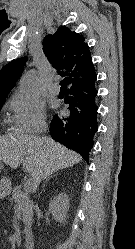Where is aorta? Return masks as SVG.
I'll return each instance as SVG.
<instances>
[{
    "mask_svg": "<svg viewBox=\"0 0 135 249\" xmlns=\"http://www.w3.org/2000/svg\"><path fill=\"white\" fill-rule=\"evenodd\" d=\"M19 99L25 103H32L39 96V75L36 72L27 74L21 81Z\"/></svg>",
    "mask_w": 135,
    "mask_h": 249,
    "instance_id": "obj_1",
    "label": "aorta"
}]
</instances>
